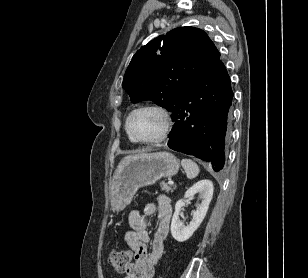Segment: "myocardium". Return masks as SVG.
Here are the masks:
<instances>
[{
	"label": "myocardium",
	"mask_w": 308,
	"mask_h": 278,
	"mask_svg": "<svg viewBox=\"0 0 308 278\" xmlns=\"http://www.w3.org/2000/svg\"><path fill=\"white\" fill-rule=\"evenodd\" d=\"M145 109H150V110H154L156 112H158L164 121V127L162 132L160 133L159 136L153 138V139H141L139 137H137L132 129H131V119L132 117L139 111L141 110H145ZM126 131L128 133V135L132 138L133 141L137 142V143H141V144H155V143H159L162 142L163 140H165L167 138V136L169 135L171 129H172V119L170 116V113L162 106L158 105V104H144V105H140L138 107H136L135 109H133L127 119H126Z\"/></svg>",
	"instance_id": "1"
}]
</instances>
